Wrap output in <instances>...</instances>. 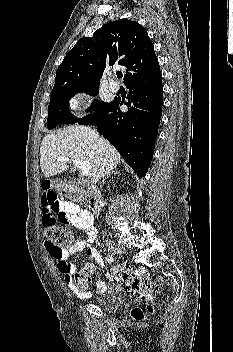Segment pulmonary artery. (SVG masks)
<instances>
[{"label": "pulmonary artery", "mask_w": 233, "mask_h": 352, "mask_svg": "<svg viewBox=\"0 0 233 352\" xmlns=\"http://www.w3.org/2000/svg\"><path fill=\"white\" fill-rule=\"evenodd\" d=\"M109 88L111 89V91L116 92V91L119 90L120 85H119L118 82H116V81H114V80H111V81L109 82Z\"/></svg>", "instance_id": "obj_1"}]
</instances>
